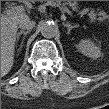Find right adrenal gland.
I'll return each instance as SVG.
<instances>
[{
    "label": "right adrenal gland",
    "mask_w": 109,
    "mask_h": 109,
    "mask_svg": "<svg viewBox=\"0 0 109 109\" xmlns=\"http://www.w3.org/2000/svg\"><path fill=\"white\" fill-rule=\"evenodd\" d=\"M29 32H30L29 30H27V31L21 30L20 32H18L17 33V41L19 40L20 35L24 34L26 36ZM24 39H25V37L23 38V41H24ZM23 41H22L18 51H20L21 48L23 47Z\"/></svg>",
    "instance_id": "2a0ac1e0"
}]
</instances>
